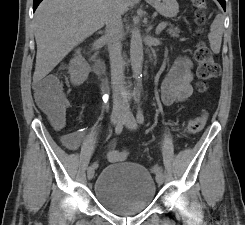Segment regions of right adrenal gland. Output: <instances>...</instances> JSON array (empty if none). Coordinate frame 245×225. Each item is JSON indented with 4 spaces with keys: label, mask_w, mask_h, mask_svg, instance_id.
<instances>
[{
    "label": "right adrenal gland",
    "mask_w": 245,
    "mask_h": 225,
    "mask_svg": "<svg viewBox=\"0 0 245 225\" xmlns=\"http://www.w3.org/2000/svg\"><path fill=\"white\" fill-rule=\"evenodd\" d=\"M99 34H103V31H100Z\"/></svg>",
    "instance_id": "right-adrenal-gland-1"
}]
</instances>
